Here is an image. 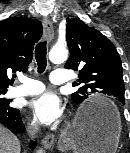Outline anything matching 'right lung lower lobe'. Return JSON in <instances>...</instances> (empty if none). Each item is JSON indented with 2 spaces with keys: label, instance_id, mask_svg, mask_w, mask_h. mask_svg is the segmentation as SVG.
<instances>
[{
  "label": "right lung lower lobe",
  "instance_id": "right-lung-lower-lobe-1",
  "mask_svg": "<svg viewBox=\"0 0 130 153\" xmlns=\"http://www.w3.org/2000/svg\"><path fill=\"white\" fill-rule=\"evenodd\" d=\"M0 123L14 133L25 131V127L20 116V111L9 106L0 105ZM35 146V142L30 143L31 149H33Z\"/></svg>",
  "mask_w": 130,
  "mask_h": 153
}]
</instances>
